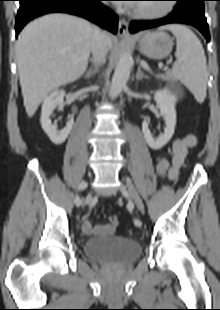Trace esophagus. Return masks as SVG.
I'll list each match as a JSON object with an SVG mask.
<instances>
[{
    "label": "esophagus",
    "instance_id": "34e87169",
    "mask_svg": "<svg viewBox=\"0 0 220 310\" xmlns=\"http://www.w3.org/2000/svg\"><path fill=\"white\" fill-rule=\"evenodd\" d=\"M118 35L121 37H129L128 22L123 18L119 19Z\"/></svg>",
    "mask_w": 220,
    "mask_h": 310
}]
</instances>
